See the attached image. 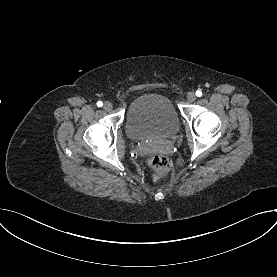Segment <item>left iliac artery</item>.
<instances>
[{
    "label": "left iliac artery",
    "mask_w": 277,
    "mask_h": 277,
    "mask_svg": "<svg viewBox=\"0 0 277 277\" xmlns=\"http://www.w3.org/2000/svg\"><path fill=\"white\" fill-rule=\"evenodd\" d=\"M196 95L200 97L202 95V92L200 90L196 91Z\"/></svg>",
    "instance_id": "obj_1"
}]
</instances>
